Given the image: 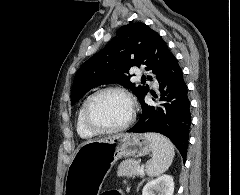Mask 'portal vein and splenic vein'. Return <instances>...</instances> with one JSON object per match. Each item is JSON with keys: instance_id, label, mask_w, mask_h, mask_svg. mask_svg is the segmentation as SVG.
I'll return each instance as SVG.
<instances>
[{"instance_id": "portal-vein-and-splenic-vein-1", "label": "portal vein and splenic vein", "mask_w": 240, "mask_h": 195, "mask_svg": "<svg viewBox=\"0 0 240 195\" xmlns=\"http://www.w3.org/2000/svg\"><path fill=\"white\" fill-rule=\"evenodd\" d=\"M139 173H144V167H141V169H138Z\"/></svg>"}]
</instances>
